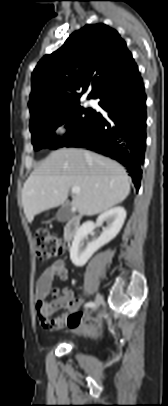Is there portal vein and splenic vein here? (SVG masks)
Returning <instances> with one entry per match:
<instances>
[{"label": "portal vein and splenic vein", "instance_id": "1", "mask_svg": "<svg viewBox=\"0 0 168 406\" xmlns=\"http://www.w3.org/2000/svg\"><path fill=\"white\" fill-rule=\"evenodd\" d=\"M71 192L73 194H78V193H80V188L78 186H74V187H72Z\"/></svg>", "mask_w": 168, "mask_h": 406}]
</instances>
